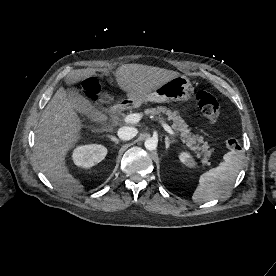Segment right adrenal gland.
Returning a JSON list of instances; mask_svg holds the SVG:
<instances>
[{
	"instance_id": "2a0ac1e0",
	"label": "right adrenal gland",
	"mask_w": 276,
	"mask_h": 276,
	"mask_svg": "<svg viewBox=\"0 0 276 276\" xmlns=\"http://www.w3.org/2000/svg\"><path fill=\"white\" fill-rule=\"evenodd\" d=\"M108 138H110L111 141H113L115 144H119L120 140L114 136H108Z\"/></svg>"
}]
</instances>
